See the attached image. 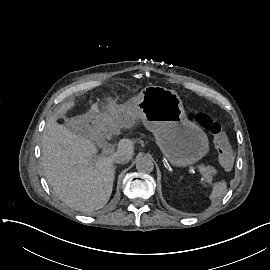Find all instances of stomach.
Wrapping results in <instances>:
<instances>
[{"instance_id": "stomach-1", "label": "stomach", "mask_w": 270, "mask_h": 270, "mask_svg": "<svg viewBox=\"0 0 270 270\" xmlns=\"http://www.w3.org/2000/svg\"><path fill=\"white\" fill-rule=\"evenodd\" d=\"M118 113L139 116L173 165L184 167L194 164L209 151L206 133L188 120L175 91L161 86H146L134 101L119 106Z\"/></svg>"}]
</instances>
